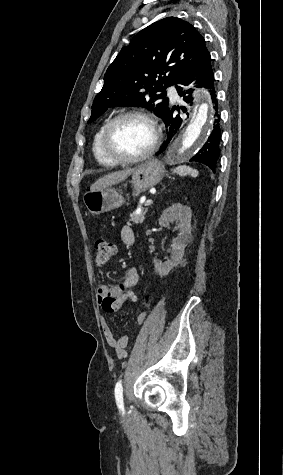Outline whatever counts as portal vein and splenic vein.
<instances>
[{"mask_svg": "<svg viewBox=\"0 0 283 475\" xmlns=\"http://www.w3.org/2000/svg\"><path fill=\"white\" fill-rule=\"evenodd\" d=\"M141 204H144V206H151V204H153V200H146V202H141Z\"/></svg>", "mask_w": 283, "mask_h": 475, "instance_id": "18ae733b", "label": "portal vein and splenic vein"}]
</instances>
